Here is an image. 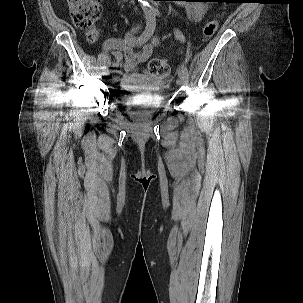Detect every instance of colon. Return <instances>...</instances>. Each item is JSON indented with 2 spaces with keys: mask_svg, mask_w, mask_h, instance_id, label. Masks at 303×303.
<instances>
[{
  "mask_svg": "<svg viewBox=\"0 0 303 303\" xmlns=\"http://www.w3.org/2000/svg\"><path fill=\"white\" fill-rule=\"evenodd\" d=\"M70 13L74 24L81 29L86 30L90 41H95L98 37V30L95 26L97 19L101 14V0H67ZM218 28L217 19L209 20L203 29L206 38L212 37ZM150 73L161 82H169L171 79V70L165 59L154 58L149 62Z\"/></svg>",
  "mask_w": 303,
  "mask_h": 303,
  "instance_id": "1",
  "label": "colon"
}]
</instances>
